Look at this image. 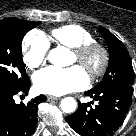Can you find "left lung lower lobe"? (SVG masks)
Masks as SVG:
<instances>
[{
  "instance_id": "0a47b994",
  "label": "left lung lower lobe",
  "mask_w": 136,
  "mask_h": 136,
  "mask_svg": "<svg viewBox=\"0 0 136 136\" xmlns=\"http://www.w3.org/2000/svg\"><path fill=\"white\" fill-rule=\"evenodd\" d=\"M132 86L91 89L85 95L99 103L95 108L79 103L77 111L67 117L69 125L82 136H113L122 125L132 101Z\"/></svg>"
}]
</instances>
